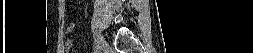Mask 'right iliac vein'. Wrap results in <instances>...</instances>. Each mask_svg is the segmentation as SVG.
Wrapping results in <instances>:
<instances>
[{"instance_id": "1", "label": "right iliac vein", "mask_w": 253, "mask_h": 53, "mask_svg": "<svg viewBox=\"0 0 253 53\" xmlns=\"http://www.w3.org/2000/svg\"><path fill=\"white\" fill-rule=\"evenodd\" d=\"M97 40H98L99 50L102 51L106 47L107 44L100 33H97Z\"/></svg>"}]
</instances>
